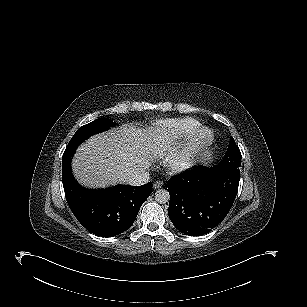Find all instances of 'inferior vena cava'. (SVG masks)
Segmentation results:
<instances>
[{"label": "inferior vena cava", "mask_w": 307, "mask_h": 307, "mask_svg": "<svg viewBox=\"0 0 307 307\" xmlns=\"http://www.w3.org/2000/svg\"><path fill=\"white\" fill-rule=\"evenodd\" d=\"M150 180V174L147 171H142L136 174H133L129 180L128 184L132 186H140L148 183Z\"/></svg>", "instance_id": "1"}]
</instances>
